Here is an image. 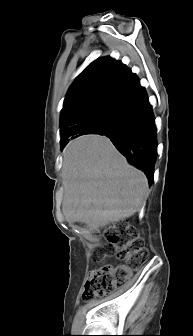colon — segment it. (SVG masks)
Listing matches in <instances>:
<instances>
[{
  "label": "colon",
  "mask_w": 193,
  "mask_h": 336,
  "mask_svg": "<svg viewBox=\"0 0 193 336\" xmlns=\"http://www.w3.org/2000/svg\"><path fill=\"white\" fill-rule=\"evenodd\" d=\"M106 249L124 263L93 269L82 292L84 302H91L123 286L132 271L148 257L143 241L123 221L117 222L113 230L106 233Z\"/></svg>",
  "instance_id": "obj_1"
}]
</instances>
